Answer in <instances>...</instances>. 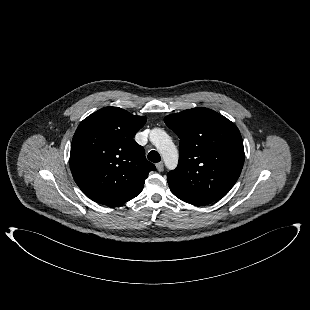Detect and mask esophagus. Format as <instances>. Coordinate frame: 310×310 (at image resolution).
Instances as JSON below:
<instances>
[{
  "label": "esophagus",
  "instance_id": "esophagus-1",
  "mask_svg": "<svg viewBox=\"0 0 310 310\" xmlns=\"http://www.w3.org/2000/svg\"><path fill=\"white\" fill-rule=\"evenodd\" d=\"M156 168L159 172L163 171V168H164V164L163 162H159L156 164Z\"/></svg>",
  "mask_w": 310,
  "mask_h": 310
}]
</instances>
